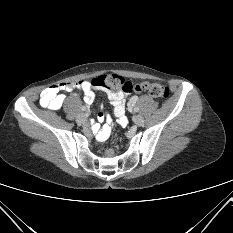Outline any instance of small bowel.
Returning <instances> with one entry per match:
<instances>
[{
    "mask_svg": "<svg viewBox=\"0 0 233 233\" xmlns=\"http://www.w3.org/2000/svg\"><path fill=\"white\" fill-rule=\"evenodd\" d=\"M104 81L105 78L102 75H99L98 77L91 78L89 81L81 80L77 82H64L50 86L41 92L39 103L44 108L59 110L65 99V95L62 92H71L75 88H78L83 92L84 102L87 105H90L95 99L94 90L101 91L106 97H108L113 106V116L106 114L104 108L101 107L97 117L99 124L95 123L92 128L97 138L103 141L110 135L113 118L118 120V124L121 127H125L128 123V119L125 114L127 93L122 90H110L106 84H103ZM137 100V97L134 95L130 97L128 107L126 109L128 113L131 114L134 112L135 109L133 106ZM94 115L96 116L97 114L95 113ZM104 121H106V123L100 126V123H103Z\"/></svg>",
    "mask_w": 233,
    "mask_h": 233,
    "instance_id": "1",
    "label": "small bowel"
}]
</instances>
